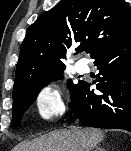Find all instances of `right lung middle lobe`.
I'll use <instances>...</instances> for the list:
<instances>
[{
  "label": "right lung middle lobe",
  "instance_id": "dd1d6c3e",
  "mask_svg": "<svg viewBox=\"0 0 131 151\" xmlns=\"http://www.w3.org/2000/svg\"><path fill=\"white\" fill-rule=\"evenodd\" d=\"M63 68L41 74L28 84L13 90L12 124L14 126H19L22 115L36 99L41 89L47 86L51 80L63 77ZM76 86L77 84H73L71 80L68 82L71 95Z\"/></svg>",
  "mask_w": 131,
  "mask_h": 151
}]
</instances>
